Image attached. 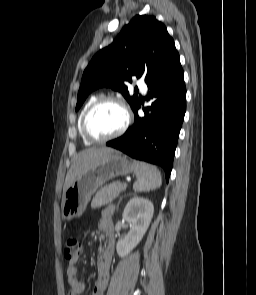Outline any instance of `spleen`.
Masks as SVG:
<instances>
[{
    "instance_id": "3e777b00",
    "label": "spleen",
    "mask_w": 256,
    "mask_h": 295,
    "mask_svg": "<svg viewBox=\"0 0 256 295\" xmlns=\"http://www.w3.org/2000/svg\"><path fill=\"white\" fill-rule=\"evenodd\" d=\"M134 172L137 181L133 184V189L137 192H147L155 190L162 185V177L156 166L135 161Z\"/></svg>"
}]
</instances>
